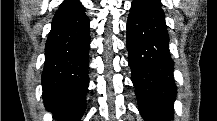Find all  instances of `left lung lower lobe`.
<instances>
[{
    "label": "left lung lower lobe",
    "mask_w": 217,
    "mask_h": 121,
    "mask_svg": "<svg viewBox=\"0 0 217 121\" xmlns=\"http://www.w3.org/2000/svg\"><path fill=\"white\" fill-rule=\"evenodd\" d=\"M168 44L160 0H134L127 21L126 45L139 111L146 121L173 118L177 88Z\"/></svg>",
    "instance_id": "0a47b994"
}]
</instances>
